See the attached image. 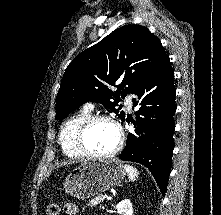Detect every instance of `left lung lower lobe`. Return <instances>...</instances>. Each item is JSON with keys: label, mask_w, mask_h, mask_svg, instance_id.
<instances>
[{"label": "left lung lower lobe", "mask_w": 221, "mask_h": 215, "mask_svg": "<svg viewBox=\"0 0 221 215\" xmlns=\"http://www.w3.org/2000/svg\"><path fill=\"white\" fill-rule=\"evenodd\" d=\"M174 73L169 57L161 61L140 83L133 94L136 129L128 134L119 158L146 166L154 176L162 194L166 192L174 149L173 115L175 105Z\"/></svg>", "instance_id": "left-lung-lower-lobe-1"}]
</instances>
